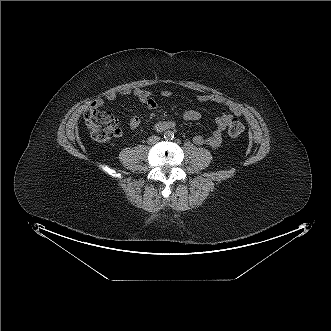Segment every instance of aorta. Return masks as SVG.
<instances>
[{
  "instance_id": "obj_1",
  "label": "aorta",
  "mask_w": 331,
  "mask_h": 331,
  "mask_svg": "<svg viewBox=\"0 0 331 331\" xmlns=\"http://www.w3.org/2000/svg\"><path fill=\"white\" fill-rule=\"evenodd\" d=\"M164 138L165 139H173L174 138V132L170 131V130H167L165 133H164Z\"/></svg>"
}]
</instances>
